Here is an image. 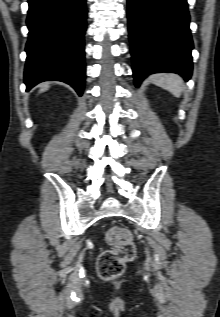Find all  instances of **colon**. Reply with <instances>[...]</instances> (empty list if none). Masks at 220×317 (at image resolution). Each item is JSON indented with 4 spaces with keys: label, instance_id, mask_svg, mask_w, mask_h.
Segmentation results:
<instances>
[{
    "label": "colon",
    "instance_id": "1",
    "mask_svg": "<svg viewBox=\"0 0 220 317\" xmlns=\"http://www.w3.org/2000/svg\"><path fill=\"white\" fill-rule=\"evenodd\" d=\"M105 239L112 248L100 254L97 269L101 278L110 280L119 277L125 265L134 259L136 246L130 230L121 226L111 227Z\"/></svg>",
    "mask_w": 220,
    "mask_h": 317
}]
</instances>
